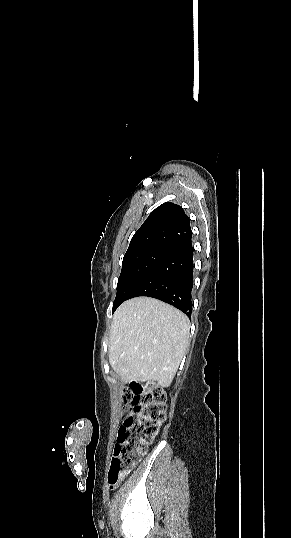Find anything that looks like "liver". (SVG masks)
<instances>
[{"label": "liver", "mask_w": 291, "mask_h": 538, "mask_svg": "<svg viewBox=\"0 0 291 538\" xmlns=\"http://www.w3.org/2000/svg\"><path fill=\"white\" fill-rule=\"evenodd\" d=\"M190 322L176 308L150 297L125 301L113 315L109 361L127 383L172 382L189 343Z\"/></svg>", "instance_id": "obj_1"}]
</instances>
